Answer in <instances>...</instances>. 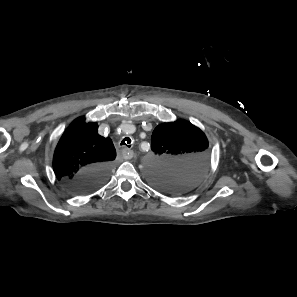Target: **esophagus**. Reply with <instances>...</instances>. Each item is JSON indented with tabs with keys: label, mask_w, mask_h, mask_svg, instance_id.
Instances as JSON below:
<instances>
[{
	"label": "esophagus",
	"mask_w": 297,
	"mask_h": 297,
	"mask_svg": "<svg viewBox=\"0 0 297 297\" xmlns=\"http://www.w3.org/2000/svg\"><path fill=\"white\" fill-rule=\"evenodd\" d=\"M134 153L129 148H123L122 149V156L124 159L129 160L133 157Z\"/></svg>",
	"instance_id": "34e87169"
}]
</instances>
